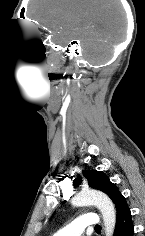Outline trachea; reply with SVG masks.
<instances>
[{
  "instance_id": "1",
  "label": "trachea",
  "mask_w": 145,
  "mask_h": 236,
  "mask_svg": "<svg viewBox=\"0 0 145 236\" xmlns=\"http://www.w3.org/2000/svg\"><path fill=\"white\" fill-rule=\"evenodd\" d=\"M95 229H101V227L99 225H96Z\"/></svg>"
}]
</instances>
